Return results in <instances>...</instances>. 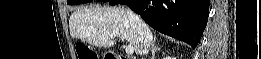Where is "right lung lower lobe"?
Masks as SVG:
<instances>
[{
    "label": "right lung lower lobe",
    "instance_id": "right-lung-lower-lobe-1",
    "mask_svg": "<svg viewBox=\"0 0 261 59\" xmlns=\"http://www.w3.org/2000/svg\"><path fill=\"white\" fill-rule=\"evenodd\" d=\"M129 4L157 31L196 47L206 27L209 0H110Z\"/></svg>",
    "mask_w": 261,
    "mask_h": 59
}]
</instances>
